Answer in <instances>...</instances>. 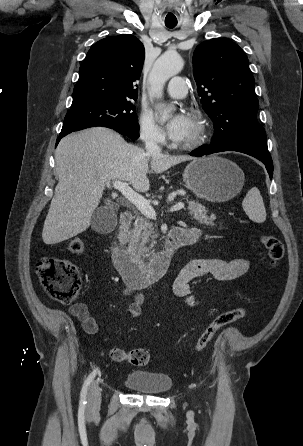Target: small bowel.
I'll return each instance as SVG.
<instances>
[{"label":"small bowel","instance_id":"obj_1","mask_svg":"<svg viewBox=\"0 0 303 446\" xmlns=\"http://www.w3.org/2000/svg\"><path fill=\"white\" fill-rule=\"evenodd\" d=\"M185 231L194 238V242L201 236V232L197 228L185 229ZM248 268V261L242 258L229 261L213 258L194 259L188 262L178 273L172 289L177 297L189 306L196 307L200 302L192 294L194 283L206 277H213L219 281L235 280L242 277ZM143 301V293H138L135 301L128 307V315L131 318L140 316ZM68 312L81 322L84 331L88 334H96L102 327L88 304H73L69 307Z\"/></svg>","mask_w":303,"mask_h":446}]
</instances>
